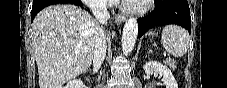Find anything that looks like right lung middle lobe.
<instances>
[{
  "label": "right lung middle lobe",
  "instance_id": "obj_1",
  "mask_svg": "<svg viewBox=\"0 0 227 88\" xmlns=\"http://www.w3.org/2000/svg\"><path fill=\"white\" fill-rule=\"evenodd\" d=\"M69 1L72 2V3H81L80 0H69Z\"/></svg>",
  "mask_w": 227,
  "mask_h": 88
}]
</instances>
